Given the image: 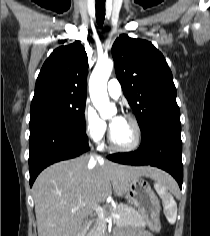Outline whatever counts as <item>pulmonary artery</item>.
Returning a JSON list of instances; mask_svg holds the SVG:
<instances>
[{"label": "pulmonary artery", "instance_id": "obj_1", "mask_svg": "<svg viewBox=\"0 0 210 236\" xmlns=\"http://www.w3.org/2000/svg\"><path fill=\"white\" fill-rule=\"evenodd\" d=\"M107 92L112 98H119L122 94L121 85L116 79H111L107 85Z\"/></svg>", "mask_w": 210, "mask_h": 236}]
</instances>
